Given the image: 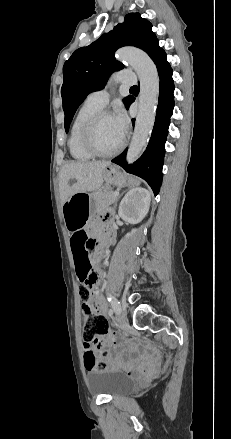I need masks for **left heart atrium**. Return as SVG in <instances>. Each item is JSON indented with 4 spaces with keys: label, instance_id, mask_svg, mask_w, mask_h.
Listing matches in <instances>:
<instances>
[{
    "label": "left heart atrium",
    "instance_id": "39dd6f15",
    "mask_svg": "<svg viewBox=\"0 0 231 439\" xmlns=\"http://www.w3.org/2000/svg\"><path fill=\"white\" fill-rule=\"evenodd\" d=\"M114 124L117 128L119 136L121 139H124L129 126L128 118L123 110H118L113 116Z\"/></svg>",
    "mask_w": 231,
    "mask_h": 439
}]
</instances>
